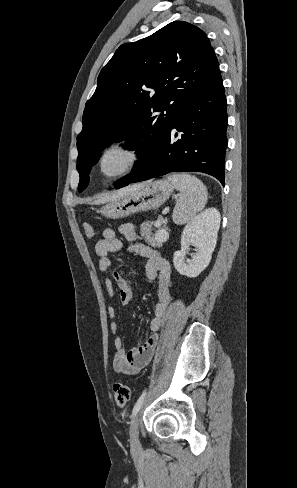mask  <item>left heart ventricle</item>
Masks as SVG:
<instances>
[{
    "instance_id": "b2bd125f",
    "label": "left heart ventricle",
    "mask_w": 297,
    "mask_h": 488,
    "mask_svg": "<svg viewBox=\"0 0 297 488\" xmlns=\"http://www.w3.org/2000/svg\"><path fill=\"white\" fill-rule=\"evenodd\" d=\"M131 159V153L125 149H116L108 153L103 161V169L107 175L123 170Z\"/></svg>"
}]
</instances>
